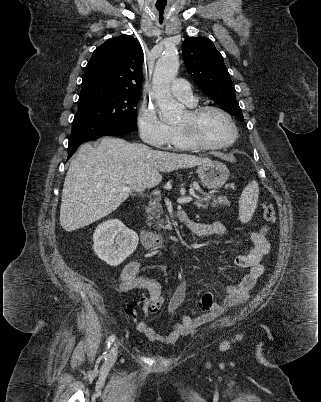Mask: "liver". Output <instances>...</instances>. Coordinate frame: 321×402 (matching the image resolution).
I'll return each instance as SVG.
<instances>
[{"mask_svg": "<svg viewBox=\"0 0 321 402\" xmlns=\"http://www.w3.org/2000/svg\"><path fill=\"white\" fill-rule=\"evenodd\" d=\"M211 160L154 150L121 138L103 137L97 147L83 144L69 166L60 207V224L67 232L85 227L116 210L130 192L152 188L160 172L190 168ZM127 186L129 192L113 189Z\"/></svg>", "mask_w": 321, "mask_h": 402, "instance_id": "1", "label": "liver"}]
</instances>
